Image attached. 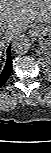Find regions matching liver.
<instances>
[{"mask_svg": "<svg viewBox=\"0 0 51 153\" xmlns=\"http://www.w3.org/2000/svg\"><path fill=\"white\" fill-rule=\"evenodd\" d=\"M32 23H51V0H0V50Z\"/></svg>", "mask_w": 51, "mask_h": 153, "instance_id": "obj_1", "label": "liver"}]
</instances>
